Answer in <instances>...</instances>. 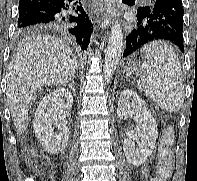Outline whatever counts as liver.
<instances>
[{
  "label": "liver",
  "mask_w": 197,
  "mask_h": 181,
  "mask_svg": "<svg viewBox=\"0 0 197 181\" xmlns=\"http://www.w3.org/2000/svg\"><path fill=\"white\" fill-rule=\"evenodd\" d=\"M78 62L61 39L38 34L18 43L6 73V96L19 134L28 129L29 103L42 86L65 85L77 73Z\"/></svg>",
  "instance_id": "liver-1"
}]
</instances>
